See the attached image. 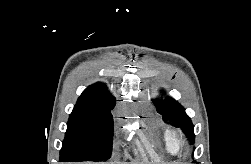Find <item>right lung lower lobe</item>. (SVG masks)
Returning a JSON list of instances; mask_svg holds the SVG:
<instances>
[{
    "mask_svg": "<svg viewBox=\"0 0 251 164\" xmlns=\"http://www.w3.org/2000/svg\"><path fill=\"white\" fill-rule=\"evenodd\" d=\"M61 162H69V161H63V160H60Z\"/></svg>",
    "mask_w": 251,
    "mask_h": 164,
    "instance_id": "1",
    "label": "right lung lower lobe"
}]
</instances>
